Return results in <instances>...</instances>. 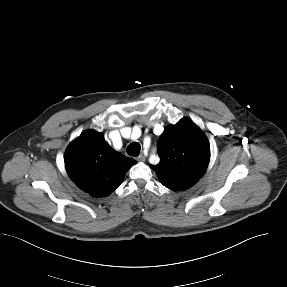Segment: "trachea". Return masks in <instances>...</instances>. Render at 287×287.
<instances>
[{"label":"trachea","mask_w":287,"mask_h":287,"mask_svg":"<svg viewBox=\"0 0 287 287\" xmlns=\"http://www.w3.org/2000/svg\"><path fill=\"white\" fill-rule=\"evenodd\" d=\"M140 144L138 142H133L131 143L128 148H127V154L131 155V156H138L140 153Z\"/></svg>","instance_id":"obj_1"}]
</instances>
